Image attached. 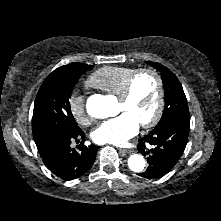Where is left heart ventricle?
<instances>
[{"label":"left heart ventricle","instance_id":"1","mask_svg":"<svg viewBox=\"0 0 221 221\" xmlns=\"http://www.w3.org/2000/svg\"><path fill=\"white\" fill-rule=\"evenodd\" d=\"M157 83L153 76L144 74L134 82L129 100H118L116 114L123 112L132 115L139 124L149 120L155 112L157 104Z\"/></svg>","mask_w":221,"mask_h":221}]
</instances>
